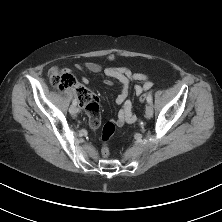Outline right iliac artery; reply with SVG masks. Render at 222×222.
<instances>
[{
    "mask_svg": "<svg viewBox=\"0 0 222 222\" xmlns=\"http://www.w3.org/2000/svg\"><path fill=\"white\" fill-rule=\"evenodd\" d=\"M72 104H73V105H77V100L74 99L73 102H72Z\"/></svg>",
    "mask_w": 222,
    "mask_h": 222,
    "instance_id": "82829eb1",
    "label": "right iliac artery"
}]
</instances>
